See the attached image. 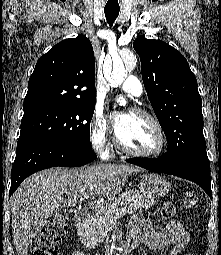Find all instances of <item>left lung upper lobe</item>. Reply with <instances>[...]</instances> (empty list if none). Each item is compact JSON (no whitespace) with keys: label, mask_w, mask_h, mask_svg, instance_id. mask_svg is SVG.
Returning <instances> with one entry per match:
<instances>
[{"label":"left lung upper lobe","mask_w":221,"mask_h":255,"mask_svg":"<svg viewBox=\"0 0 221 255\" xmlns=\"http://www.w3.org/2000/svg\"><path fill=\"white\" fill-rule=\"evenodd\" d=\"M133 48L141 60L143 83L166 135L165 158L175 161L206 151L202 99L187 60L169 44L138 36Z\"/></svg>","instance_id":"left-lung-upper-lobe-1"}]
</instances>
